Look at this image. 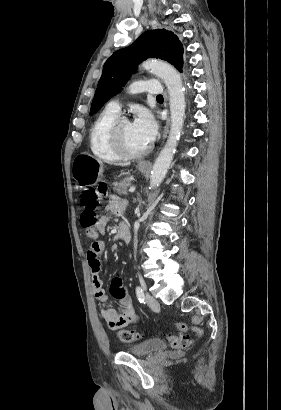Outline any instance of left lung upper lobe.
I'll use <instances>...</instances> for the list:
<instances>
[{
    "instance_id": "obj_1",
    "label": "left lung upper lobe",
    "mask_w": 281,
    "mask_h": 410,
    "mask_svg": "<svg viewBox=\"0 0 281 410\" xmlns=\"http://www.w3.org/2000/svg\"><path fill=\"white\" fill-rule=\"evenodd\" d=\"M147 58H160L183 72V47L178 37L166 29L143 33L132 45L118 50L104 64L92 101L90 115L121 91L137 65Z\"/></svg>"
}]
</instances>
